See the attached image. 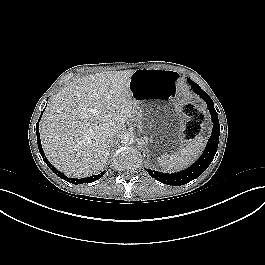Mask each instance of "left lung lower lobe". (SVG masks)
Wrapping results in <instances>:
<instances>
[{"mask_svg": "<svg viewBox=\"0 0 265 265\" xmlns=\"http://www.w3.org/2000/svg\"><path fill=\"white\" fill-rule=\"evenodd\" d=\"M188 81L191 84V87L195 91V93L200 95L206 101L208 109L211 113L214 126L212 130V135L208 140L204 153L188 169H185L175 174H165L162 172L153 171L151 169H146V171L149 173L151 177L155 178L156 180L164 184L172 185V186H181L199 177L208 168V166L212 162L216 154L218 142H219L220 125H219L218 115L214 108L212 99L209 97V95L205 91H203L199 87V85H197L195 82L189 79Z\"/></svg>", "mask_w": 265, "mask_h": 265, "instance_id": "obj_1", "label": "left lung lower lobe"}]
</instances>
